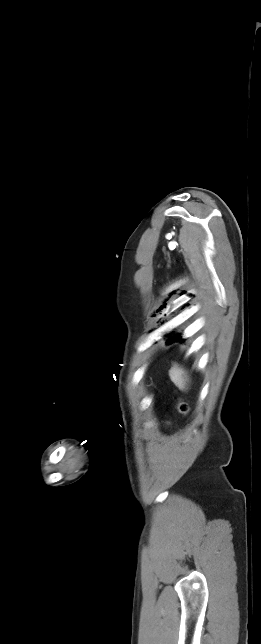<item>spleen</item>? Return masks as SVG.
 I'll return each instance as SVG.
<instances>
[{
  "mask_svg": "<svg viewBox=\"0 0 261 644\" xmlns=\"http://www.w3.org/2000/svg\"><path fill=\"white\" fill-rule=\"evenodd\" d=\"M169 376L171 381L182 391H185L187 388V373L177 364H174L169 370Z\"/></svg>",
  "mask_w": 261,
  "mask_h": 644,
  "instance_id": "3e777b00",
  "label": "spleen"
}]
</instances>
